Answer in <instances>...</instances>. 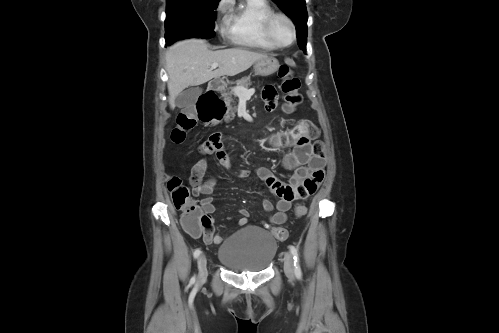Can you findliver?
I'll return each mask as SVG.
<instances>
[{
    "label": "liver",
    "mask_w": 499,
    "mask_h": 333,
    "mask_svg": "<svg viewBox=\"0 0 499 333\" xmlns=\"http://www.w3.org/2000/svg\"><path fill=\"white\" fill-rule=\"evenodd\" d=\"M267 57L265 53L243 48L211 51L202 39L176 42L166 52L170 107H175L176 97L187 87L202 85L224 75L235 76ZM213 63H219V68L211 69Z\"/></svg>",
    "instance_id": "liver-1"
}]
</instances>
